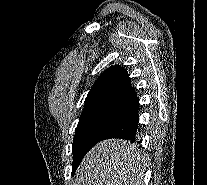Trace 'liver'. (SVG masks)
Masks as SVG:
<instances>
[{"label": "liver", "mask_w": 207, "mask_h": 185, "mask_svg": "<svg viewBox=\"0 0 207 185\" xmlns=\"http://www.w3.org/2000/svg\"><path fill=\"white\" fill-rule=\"evenodd\" d=\"M135 143L107 139L85 155L77 169L76 185H142L144 169Z\"/></svg>", "instance_id": "6515ba94"}]
</instances>
